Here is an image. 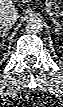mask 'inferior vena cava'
Instances as JSON below:
<instances>
[{
	"instance_id": "obj_1",
	"label": "inferior vena cava",
	"mask_w": 63,
	"mask_h": 107,
	"mask_svg": "<svg viewBox=\"0 0 63 107\" xmlns=\"http://www.w3.org/2000/svg\"><path fill=\"white\" fill-rule=\"evenodd\" d=\"M18 19L17 12L3 9L0 11V26L3 27H10L12 26Z\"/></svg>"
}]
</instances>
